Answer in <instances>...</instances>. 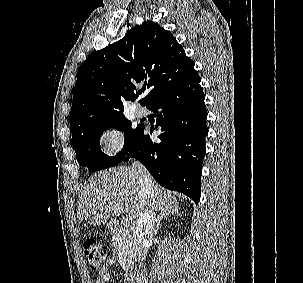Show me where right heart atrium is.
Listing matches in <instances>:
<instances>
[{
	"instance_id": "d8ad5b80",
	"label": "right heart atrium",
	"mask_w": 303,
	"mask_h": 283,
	"mask_svg": "<svg viewBox=\"0 0 303 283\" xmlns=\"http://www.w3.org/2000/svg\"><path fill=\"white\" fill-rule=\"evenodd\" d=\"M98 143L106 156L115 157L120 154L124 148V133L115 125H106L99 132Z\"/></svg>"
}]
</instances>
